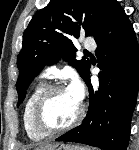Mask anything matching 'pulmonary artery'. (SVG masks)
Instances as JSON below:
<instances>
[{
    "label": "pulmonary artery",
    "mask_w": 139,
    "mask_h": 150,
    "mask_svg": "<svg viewBox=\"0 0 139 150\" xmlns=\"http://www.w3.org/2000/svg\"><path fill=\"white\" fill-rule=\"evenodd\" d=\"M83 46L87 50H94L96 48V43L94 42V40L87 38L85 39Z\"/></svg>",
    "instance_id": "1"
}]
</instances>
